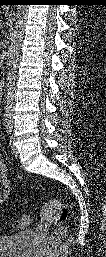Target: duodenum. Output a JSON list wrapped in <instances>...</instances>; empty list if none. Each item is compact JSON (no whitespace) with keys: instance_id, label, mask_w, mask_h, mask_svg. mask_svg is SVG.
<instances>
[{"instance_id":"obj_1","label":"duodenum","mask_w":106,"mask_h":257,"mask_svg":"<svg viewBox=\"0 0 106 257\" xmlns=\"http://www.w3.org/2000/svg\"><path fill=\"white\" fill-rule=\"evenodd\" d=\"M3 90V85L2 84H0V91H2Z\"/></svg>"}]
</instances>
